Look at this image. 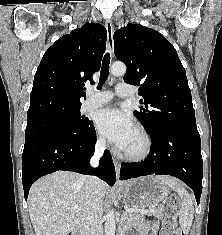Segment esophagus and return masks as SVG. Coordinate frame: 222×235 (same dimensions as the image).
I'll return each instance as SVG.
<instances>
[{"instance_id": "esophagus-1", "label": "esophagus", "mask_w": 222, "mask_h": 235, "mask_svg": "<svg viewBox=\"0 0 222 235\" xmlns=\"http://www.w3.org/2000/svg\"><path fill=\"white\" fill-rule=\"evenodd\" d=\"M105 27L107 30V50L110 53V55H112L114 51V40H113V25L111 20L109 19L106 20ZM113 163L115 166L117 179H119L121 164L116 159H113Z\"/></svg>"}]
</instances>
